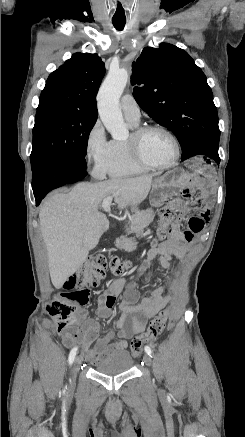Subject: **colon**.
<instances>
[{"label": "colon", "instance_id": "colon-1", "mask_svg": "<svg viewBox=\"0 0 245 437\" xmlns=\"http://www.w3.org/2000/svg\"><path fill=\"white\" fill-rule=\"evenodd\" d=\"M177 216V206L173 202H166L159 210L160 225L158 238L164 239L168 235V224ZM128 263L117 256L95 253L91 255L80 268L64 283L63 291L55 297L47 307L54 319L58 331L72 338H81L84 326L79 322L86 316V307L91 298V288L98 286L105 278L109 269L113 274L120 275L128 269ZM168 320V310H162L149 324L142 334L131 341V352L139 355L143 345L155 340L165 329Z\"/></svg>", "mask_w": 245, "mask_h": 437}]
</instances>
